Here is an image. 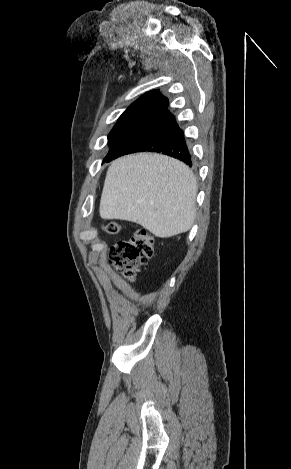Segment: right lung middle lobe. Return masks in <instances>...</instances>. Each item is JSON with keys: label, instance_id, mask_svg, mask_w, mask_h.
I'll list each match as a JSON object with an SVG mask.
<instances>
[{"label": "right lung middle lobe", "instance_id": "dd1d6c3e", "mask_svg": "<svg viewBox=\"0 0 291 469\" xmlns=\"http://www.w3.org/2000/svg\"><path fill=\"white\" fill-rule=\"evenodd\" d=\"M152 116L141 113H123L110 134L108 142L111 147L107 157L130 135L144 125Z\"/></svg>", "mask_w": 291, "mask_h": 469}]
</instances>
